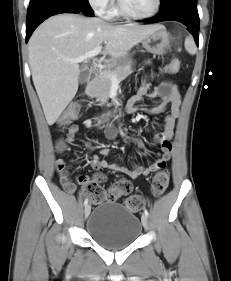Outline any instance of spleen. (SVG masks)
<instances>
[{"label": "spleen", "mask_w": 231, "mask_h": 281, "mask_svg": "<svg viewBox=\"0 0 231 281\" xmlns=\"http://www.w3.org/2000/svg\"><path fill=\"white\" fill-rule=\"evenodd\" d=\"M184 45H185L186 51H187L189 54H191V55H195V54H196V52H197V47H196L195 42H194V40H193L192 37H187V38L185 39Z\"/></svg>", "instance_id": "spleen-1"}]
</instances>
